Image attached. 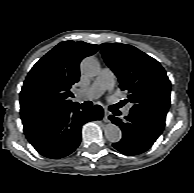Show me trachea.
Returning a JSON list of instances; mask_svg holds the SVG:
<instances>
[{
	"label": "trachea",
	"instance_id": "1",
	"mask_svg": "<svg viewBox=\"0 0 194 193\" xmlns=\"http://www.w3.org/2000/svg\"><path fill=\"white\" fill-rule=\"evenodd\" d=\"M83 104H84V106H86V107H90V106H91V103H90V102H84Z\"/></svg>",
	"mask_w": 194,
	"mask_h": 193
}]
</instances>
